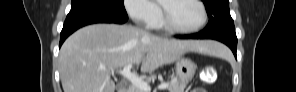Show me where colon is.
Returning <instances> with one entry per match:
<instances>
[{"label": "colon", "mask_w": 296, "mask_h": 92, "mask_svg": "<svg viewBox=\"0 0 296 92\" xmlns=\"http://www.w3.org/2000/svg\"><path fill=\"white\" fill-rule=\"evenodd\" d=\"M216 74L213 66H208L202 70L201 77L205 82H212ZM193 92H205L203 89H195Z\"/></svg>", "instance_id": "colon-1"}]
</instances>
